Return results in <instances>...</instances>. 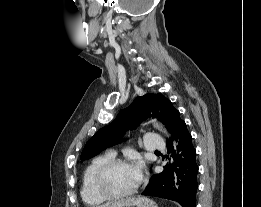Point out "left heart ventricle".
I'll return each instance as SVG.
<instances>
[{
    "instance_id": "b2bd125f",
    "label": "left heart ventricle",
    "mask_w": 261,
    "mask_h": 207,
    "mask_svg": "<svg viewBox=\"0 0 261 207\" xmlns=\"http://www.w3.org/2000/svg\"><path fill=\"white\" fill-rule=\"evenodd\" d=\"M137 181V174L132 165H120L111 170L107 184L111 191L122 193L133 188Z\"/></svg>"
}]
</instances>
